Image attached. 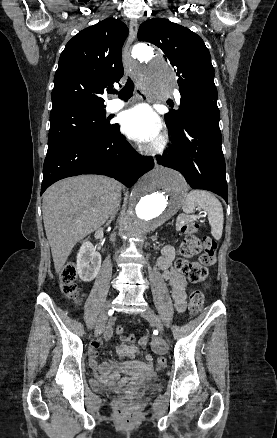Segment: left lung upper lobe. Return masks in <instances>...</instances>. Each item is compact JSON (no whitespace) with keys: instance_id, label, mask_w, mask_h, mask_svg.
<instances>
[{"instance_id":"5c2ea615","label":"left lung upper lobe","mask_w":277,"mask_h":438,"mask_svg":"<svg viewBox=\"0 0 277 438\" xmlns=\"http://www.w3.org/2000/svg\"><path fill=\"white\" fill-rule=\"evenodd\" d=\"M139 41L158 46L164 58L177 69L181 100L178 110H170L165 120L170 133L181 126L185 110L204 101H217L214 68L209 50L200 36L167 19L152 18L139 27Z\"/></svg>"}]
</instances>
